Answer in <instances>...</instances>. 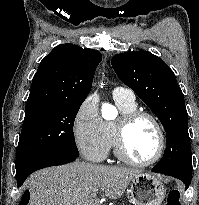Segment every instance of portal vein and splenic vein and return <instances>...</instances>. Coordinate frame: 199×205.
Listing matches in <instances>:
<instances>
[{"label":"portal vein and splenic vein","instance_id":"obj_1","mask_svg":"<svg viewBox=\"0 0 199 205\" xmlns=\"http://www.w3.org/2000/svg\"><path fill=\"white\" fill-rule=\"evenodd\" d=\"M91 197H96V193H93V194L91 195Z\"/></svg>","mask_w":199,"mask_h":205}]
</instances>
